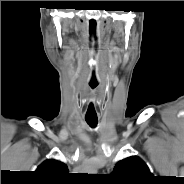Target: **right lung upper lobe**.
Instances as JSON below:
<instances>
[{
    "label": "right lung upper lobe",
    "mask_w": 184,
    "mask_h": 184,
    "mask_svg": "<svg viewBox=\"0 0 184 184\" xmlns=\"http://www.w3.org/2000/svg\"><path fill=\"white\" fill-rule=\"evenodd\" d=\"M45 183L59 184L67 181L68 168L57 160L48 159L44 161L35 171Z\"/></svg>",
    "instance_id": "right-lung-upper-lobe-1"
}]
</instances>
